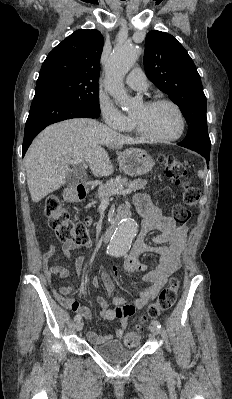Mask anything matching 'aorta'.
Here are the masks:
<instances>
[{
  "instance_id": "762f6f07",
  "label": "aorta",
  "mask_w": 232,
  "mask_h": 399,
  "mask_svg": "<svg viewBox=\"0 0 232 399\" xmlns=\"http://www.w3.org/2000/svg\"><path fill=\"white\" fill-rule=\"evenodd\" d=\"M141 49L138 46L123 45L116 47L106 65V89L115 101L124 109L133 108L136 100L130 98L124 88L123 79L137 61ZM138 231L134 219L127 218L120 222L107 252L112 256H123L131 247L132 239Z\"/></svg>"
}]
</instances>
